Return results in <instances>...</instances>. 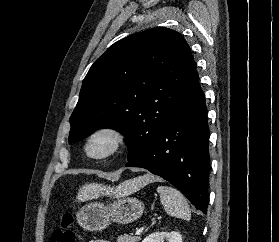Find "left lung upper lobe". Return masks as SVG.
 Segmentation results:
<instances>
[{"label":"left lung upper lobe","mask_w":279,"mask_h":242,"mask_svg":"<svg viewBox=\"0 0 279 242\" xmlns=\"http://www.w3.org/2000/svg\"><path fill=\"white\" fill-rule=\"evenodd\" d=\"M195 61L182 35L158 27L108 48L83 80L69 143L101 128L127 139L128 161L146 151L183 99Z\"/></svg>","instance_id":"5c2ea615"}]
</instances>
